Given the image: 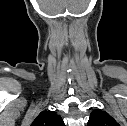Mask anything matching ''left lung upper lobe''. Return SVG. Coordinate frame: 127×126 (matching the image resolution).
Segmentation results:
<instances>
[{
    "label": "left lung upper lobe",
    "instance_id": "left-lung-upper-lobe-1",
    "mask_svg": "<svg viewBox=\"0 0 127 126\" xmlns=\"http://www.w3.org/2000/svg\"><path fill=\"white\" fill-rule=\"evenodd\" d=\"M88 126H119V124L107 112L96 109L90 115Z\"/></svg>",
    "mask_w": 127,
    "mask_h": 126
}]
</instances>
